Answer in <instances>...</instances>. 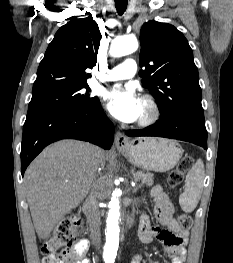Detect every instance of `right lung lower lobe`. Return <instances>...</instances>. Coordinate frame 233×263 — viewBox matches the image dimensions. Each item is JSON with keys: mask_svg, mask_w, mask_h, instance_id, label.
Wrapping results in <instances>:
<instances>
[{"mask_svg": "<svg viewBox=\"0 0 233 263\" xmlns=\"http://www.w3.org/2000/svg\"><path fill=\"white\" fill-rule=\"evenodd\" d=\"M78 139L110 149L114 128L99 99L92 106L71 112H56L26 119L21 145V173L48 144L60 139Z\"/></svg>", "mask_w": 233, "mask_h": 263, "instance_id": "1", "label": "right lung lower lobe"}]
</instances>
